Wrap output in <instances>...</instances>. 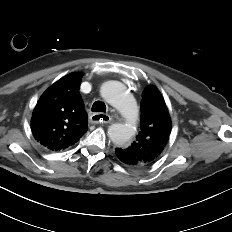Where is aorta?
<instances>
[{"mask_svg": "<svg viewBox=\"0 0 232 232\" xmlns=\"http://www.w3.org/2000/svg\"><path fill=\"white\" fill-rule=\"evenodd\" d=\"M101 96L106 102L117 108L126 119V123L113 124L108 129L111 141L118 145H124L135 134V123L138 119V107L125 86L118 81L105 82L100 90Z\"/></svg>", "mask_w": 232, "mask_h": 232, "instance_id": "1", "label": "aorta"}]
</instances>
